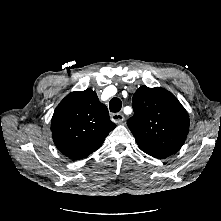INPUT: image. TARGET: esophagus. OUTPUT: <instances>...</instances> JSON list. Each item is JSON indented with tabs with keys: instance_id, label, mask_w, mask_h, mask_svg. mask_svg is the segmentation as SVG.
<instances>
[{
	"instance_id": "34e87169",
	"label": "esophagus",
	"mask_w": 221,
	"mask_h": 221,
	"mask_svg": "<svg viewBox=\"0 0 221 221\" xmlns=\"http://www.w3.org/2000/svg\"><path fill=\"white\" fill-rule=\"evenodd\" d=\"M124 119L125 117L122 113H114L111 115V120L116 124L122 123Z\"/></svg>"
}]
</instances>
